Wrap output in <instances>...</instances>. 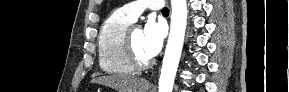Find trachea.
Here are the masks:
<instances>
[{"instance_id":"3493384b","label":"trachea","mask_w":289,"mask_h":92,"mask_svg":"<svg viewBox=\"0 0 289 92\" xmlns=\"http://www.w3.org/2000/svg\"><path fill=\"white\" fill-rule=\"evenodd\" d=\"M162 13H169V9L168 8H163Z\"/></svg>"}]
</instances>
